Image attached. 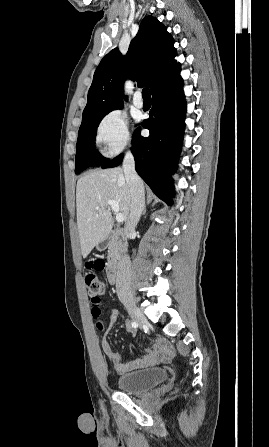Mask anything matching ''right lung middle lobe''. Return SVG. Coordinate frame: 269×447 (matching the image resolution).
<instances>
[{
  "instance_id": "obj_1",
  "label": "right lung middle lobe",
  "mask_w": 269,
  "mask_h": 447,
  "mask_svg": "<svg viewBox=\"0 0 269 447\" xmlns=\"http://www.w3.org/2000/svg\"><path fill=\"white\" fill-rule=\"evenodd\" d=\"M104 116L79 129L75 173H80L90 166H100L108 160L95 149L97 127Z\"/></svg>"
}]
</instances>
